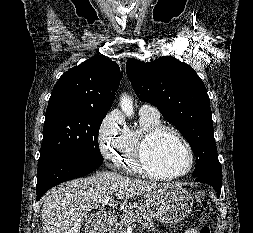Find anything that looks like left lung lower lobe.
I'll list each match as a JSON object with an SVG mask.
<instances>
[{"instance_id":"left-lung-lower-lobe-1","label":"left lung lower lobe","mask_w":253,"mask_h":233,"mask_svg":"<svg viewBox=\"0 0 253 233\" xmlns=\"http://www.w3.org/2000/svg\"><path fill=\"white\" fill-rule=\"evenodd\" d=\"M196 181L211 185L217 192V196H220L222 179L214 178L212 176H199L196 177Z\"/></svg>"}]
</instances>
